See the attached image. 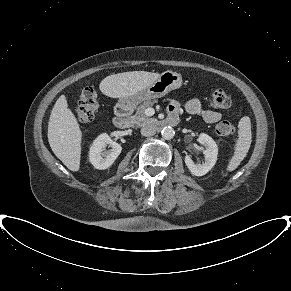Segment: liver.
<instances>
[{"label":"liver","mask_w":291,"mask_h":291,"mask_svg":"<svg viewBox=\"0 0 291 291\" xmlns=\"http://www.w3.org/2000/svg\"><path fill=\"white\" fill-rule=\"evenodd\" d=\"M160 74L131 71L104 78L99 88L112 98L134 95L152 85ZM82 132L74 113L68 108L65 95L56 101L48 123V142L53 153L71 171H78L81 158Z\"/></svg>","instance_id":"liver-1"}]
</instances>
